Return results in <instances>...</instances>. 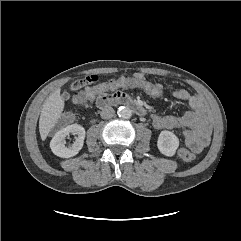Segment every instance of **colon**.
I'll return each mask as SVG.
<instances>
[{"instance_id":"obj_1","label":"colon","mask_w":241,"mask_h":241,"mask_svg":"<svg viewBox=\"0 0 241 241\" xmlns=\"http://www.w3.org/2000/svg\"><path fill=\"white\" fill-rule=\"evenodd\" d=\"M121 89H140L155 100L163 96V89L161 86L136 76H121L103 83L100 82L98 76H90L72 85L74 101L78 104H82L93 98L95 94H105L107 91H118ZM74 119V113L66 112L62 117V122L64 124H69L73 122ZM178 155L185 162H191L195 159V155L187 148H180L178 150Z\"/></svg>"}]
</instances>
